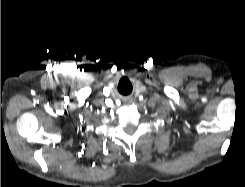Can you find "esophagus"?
Instances as JSON below:
<instances>
[{
    "label": "esophagus",
    "mask_w": 245,
    "mask_h": 187,
    "mask_svg": "<svg viewBox=\"0 0 245 187\" xmlns=\"http://www.w3.org/2000/svg\"><path fill=\"white\" fill-rule=\"evenodd\" d=\"M124 103L129 104V103H130V101H125Z\"/></svg>",
    "instance_id": "obj_1"
}]
</instances>
